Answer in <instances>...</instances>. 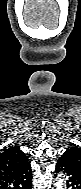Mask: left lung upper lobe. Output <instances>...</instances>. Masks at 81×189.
<instances>
[{"label": "left lung upper lobe", "mask_w": 81, "mask_h": 189, "mask_svg": "<svg viewBox=\"0 0 81 189\" xmlns=\"http://www.w3.org/2000/svg\"><path fill=\"white\" fill-rule=\"evenodd\" d=\"M64 154L70 157L73 163L81 170V148L73 146L67 149Z\"/></svg>", "instance_id": "5c2ea615"}]
</instances>
